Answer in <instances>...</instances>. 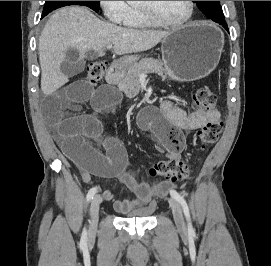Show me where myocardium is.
<instances>
[{
  "instance_id": "myocardium-1",
  "label": "myocardium",
  "mask_w": 271,
  "mask_h": 266,
  "mask_svg": "<svg viewBox=\"0 0 271 266\" xmlns=\"http://www.w3.org/2000/svg\"><path fill=\"white\" fill-rule=\"evenodd\" d=\"M187 3L189 5L188 14L183 20L178 21V22H170V21H166L160 18L150 7L140 6L139 8L142 14L145 16V18L149 22H151L153 25L169 27V28H180L190 23L194 16V11H195L194 2L187 1Z\"/></svg>"
}]
</instances>
